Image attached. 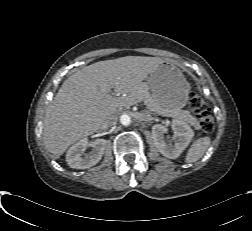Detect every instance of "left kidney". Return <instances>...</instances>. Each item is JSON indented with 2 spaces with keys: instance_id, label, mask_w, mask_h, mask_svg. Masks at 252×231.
Segmentation results:
<instances>
[{
  "instance_id": "left-kidney-1",
  "label": "left kidney",
  "mask_w": 252,
  "mask_h": 231,
  "mask_svg": "<svg viewBox=\"0 0 252 231\" xmlns=\"http://www.w3.org/2000/svg\"><path fill=\"white\" fill-rule=\"evenodd\" d=\"M171 127L174 131V145L167 143L164 136L167 128L161 124H156L152 127V137L158 151L163 156L176 159L189 145L194 136V132L187 123L178 119L172 121Z\"/></svg>"
}]
</instances>
